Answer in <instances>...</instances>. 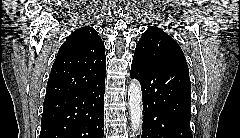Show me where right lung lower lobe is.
Here are the masks:
<instances>
[{
	"label": "right lung lower lobe",
	"instance_id": "right-lung-lower-lobe-1",
	"mask_svg": "<svg viewBox=\"0 0 240 138\" xmlns=\"http://www.w3.org/2000/svg\"><path fill=\"white\" fill-rule=\"evenodd\" d=\"M105 77L93 87L44 101L39 138H103Z\"/></svg>",
	"mask_w": 240,
	"mask_h": 138
}]
</instances>
